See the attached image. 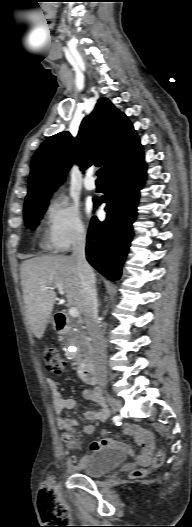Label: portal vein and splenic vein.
<instances>
[{
    "instance_id": "1",
    "label": "portal vein and splenic vein",
    "mask_w": 192,
    "mask_h": 527,
    "mask_svg": "<svg viewBox=\"0 0 192 527\" xmlns=\"http://www.w3.org/2000/svg\"><path fill=\"white\" fill-rule=\"evenodd\" d=\"M42 286H44V284H43ZM55 287L58 288L59 293H60L61 295H64V287H63V285H61L60 283H56V284H55ZM68 313H69V315H70L71 317H73V318H77V317H79V315H80V313H79V311H78V309H77L76 307H71V308L69 309Z\"/></svg>"
}]
</instances>
